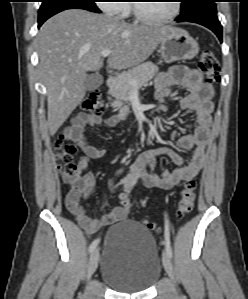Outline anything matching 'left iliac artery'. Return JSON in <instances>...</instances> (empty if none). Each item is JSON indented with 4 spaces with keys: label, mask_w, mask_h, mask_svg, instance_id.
I'll return each mask as SVG.
<instances>
[{
    "label": "left iliac artery",
    "mask_w": 248,
    "mask_h": 299,
    "mask_svg": "<svg viewBox=\"0 0 248 299\" xmlns=\"http://www.w3.org/2000/svg\"><path fill=\"white\" fill-rule=\"evenodd\" d=\"M165 246L166 251L170 257H172V248L170 244V235H169V226H168V220H166V228H165Z\"/></svg>",
    "instance_id": "obj_1"
}]
</instances>
